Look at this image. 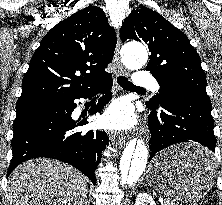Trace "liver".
Listing matches in <instances>:
<instances>
[{"mask_svg": "<svg viewBox=\"0 0 222 205\" xmlns=\"http://www.w3.org/2000/svg\"><path fill=\"white\" fill-rule=\"evenodd\" d=\"M87 179L77 169L49 158L29 160L9 176L6 205H83Z\"/></svg>", "mask_w": 222, "mask_h": 205, "instance_id": "6515ba94", "label": "liver"}]
</instances>
